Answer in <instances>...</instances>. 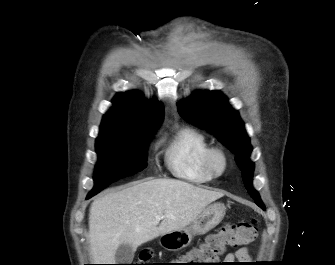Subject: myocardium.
<instances>
[{
    "instance_id": "f54148a6",
    "label": "myocardium",
    "mask_w": 335,
    "mask_h": 265,
    "mask_svg": "<svg viewBox=\"0 0 335 265\" xmlns=\"http://www.w3.org/2000/svg\"><path fill=\"white\" fill-rule=\"evenodd\" d=\"M221 161V166H217L216 161ZM204 165L214 176H220L226 172L229 166V158L224 149L211 147L205 154Z\"/></svg>"
}]
</instances>
